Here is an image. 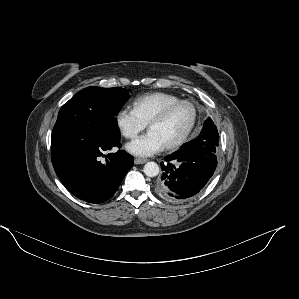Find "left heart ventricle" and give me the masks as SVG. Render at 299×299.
<instances>
[{
	"label": "left heart ventricle",
	"mask_w": 299,
	"mask_h": 299,
	"mask_svg": "<svg viewBox=\"0 0 299 299\" xmlns=\"http://www.w3.org/2000/svg\"><path fill=\"white\" fill-rule=\"evenodd\" d=\"M193 118V110L189 105H181L168 117L150 128L165 145L178 139L188 128Z\"/></svg>",
	"instance_id": "b2bd125f"
}]
</instances>
